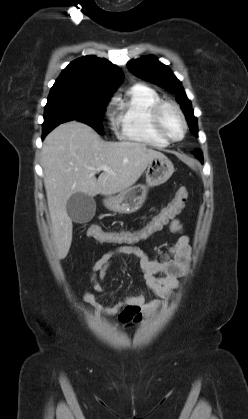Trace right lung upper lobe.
<instances>
[{
	"instance_id": "obj_1",
	"label": "right lung upper lobe",
	"mask_w": 248,
	"mask_h": 419,
	"mask_svg": "<svg viewBox=\"0 0 248 419\" xmlns=\"http://www.w3.org/2000/svg\"><path fill=\"white\" fill-rule=\"evenodd\" d=\"M123 80L122 70L106 59L89 55L71 62L52 89H67L98 95L112 94Z\"/></svg>"
}]
</instances>
